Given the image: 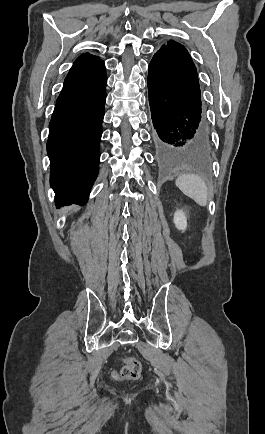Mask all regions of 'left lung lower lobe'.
<instances>
[{"instance_id": "obj_1", "label": "left lung lower lobe", "mask_w": 265, "mask_h": 434, "mask_svg": "<svg viewBox=\"0 0 265 434\" xmlns=\"http://www.w3.org/2000/svg\"><path fill=\"white\" fill-rule=\"evenodd\" d=\"M151 139L162 154L198 155L211 149L210 132L202 114L201 91L164 56L149 64Z\"/></svg>"}]
</instances>
